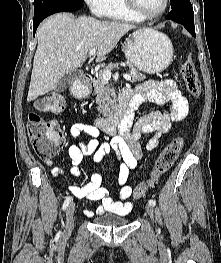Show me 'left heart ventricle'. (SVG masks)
<instances>
[{
  "instance_id": "b2bd125f",
  "label": "left heart ventricle",
  "mask_w": 221,
  "mask_h": 263,
  "mask_svg": "<svg viewBox=\"0 0 221 263\" xmlns=\"http://www.w3.org/2000/svg\"><path fill=\"white\" fill-rule=\"evenodd\" d=\"M141 10L146 14L156 13L162 9L164 0H137Z\"/></svg>"
}]
</instances>
